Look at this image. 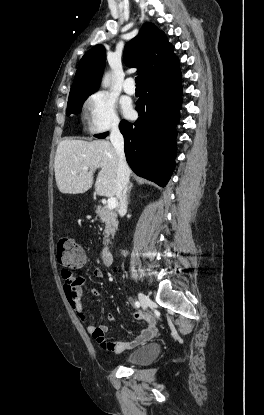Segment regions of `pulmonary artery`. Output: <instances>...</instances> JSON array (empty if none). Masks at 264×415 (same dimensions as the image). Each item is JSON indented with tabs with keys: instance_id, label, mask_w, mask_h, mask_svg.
Instances as JSON below:
<instances>
[{
	"instance_id": "e3ab8cb5",
	"label": "pulmonary artery",
	"mask_w": 264,
	"mask_h": 415,
	"mask_svg": "<svg viewBox=\"0 0 264 415\" xmlns=\"http://www.w3.org/2000/svg\"><path fill=\"white\" fill-rule=\"evenodd\" d=\"M123 89L129 95H133L136 92L134 79L132 77H128L127 79H125L123 83Z\"/></svg>"
}]
</instances>
